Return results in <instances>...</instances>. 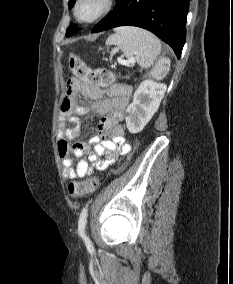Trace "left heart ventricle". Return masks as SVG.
I'll return each mask as SVG.
<instances>
[{"label": "left heart ventricle", "mask_w": 233, "mask_h": 284, "mask_svg": "<svg viewBox=\"0 0 233 284\" xmlns=\"http://www.w3.org/2000/svg\"><path fill=\"white\" fill-rule=\"evenodd\" d=\"M100 7V0H84L79 7V14L84 18H89L95 15Z\"/></svg>", "instance_id": "b2bd125f"}]
</instances>
